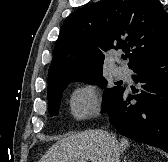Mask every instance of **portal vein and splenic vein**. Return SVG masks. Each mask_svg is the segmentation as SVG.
Wrapping results in <instances>:
<instances>
[{
  "label": "portal vein and splenic vein",
  "instance_id": "1",
  "mask_svg": "<svg viewBox=\"0 0 168 162\" xmlns=\"http://www.w3.org/2000/svg\"><path fill=\"white\" fill-rule=\"evenodd\" d=\"M77 162H86L85 160H78Z\"/></svg>",
  "mask_w": 168,
  "mask_h": 162
}]
</instances>
